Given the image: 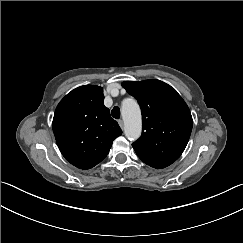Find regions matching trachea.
<instances>
[{"mask_svg":"<svg viewBox=\"0 0 243 243\" xmlns=\"http://www.w3.org/2000/svg\"><path fill=\"white\" fill-rule=\"evenodd\" d=\"M112 117H114L115 119H119L120 118V115H121V111H120V108L119 107H114L112 112Z\"/></svg>","mask_w":243,"mask_h":243,"instance_id":"3493384b","label":"trachea"}]
</instances>
